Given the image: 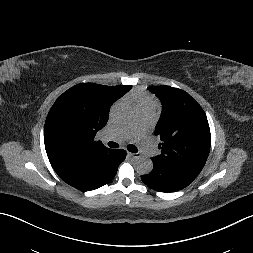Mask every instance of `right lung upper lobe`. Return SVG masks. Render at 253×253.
Here are the masks:
<instances>
[{"label":"right lung upper lobe","instance_id":"obj_1","mask_svg":"<svg viewBox=\"0 0 253 253\" xmlns=\"http://www.w3.org/2000/svg\"><path fill=\"white\" fill-rule=\"evenodd\" d=\"M131 88L82 83L55 101L44 127L45 149L54 170L90 161L110 150L96 142L95 135L106 125L111 105Z\"/></svg>","mask_w":253,"mask_h":253}]
</instances>
